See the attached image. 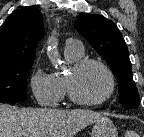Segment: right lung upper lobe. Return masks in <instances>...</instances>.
I'll return each instance as SVG.
<instances>
[{
    "label": "right lung upper lobe",
    "mask_w": 144,
    "mask_h": 137,
    "mask_svg": "<svg viewBox=\"0 0 144 137\" xmlns=\"http://www.w3.org/2000/svg\"><path fill=\"white\" fill-rule=\"evenodd\" d=\"M43 32L42 14L37 7L15 10L0 27V63L34 59Z\"/></svg>",
    "instance_id": "cb5924a9"
}]
</instances>
